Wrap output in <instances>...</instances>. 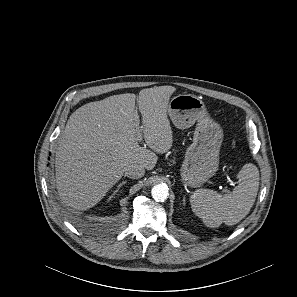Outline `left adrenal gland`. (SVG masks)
<instances>
[{
    "label": "left adrenal gland",
    "mask_w": 297,
    "mask_h": 297,
    "mask_svg": "<svg viewBox=\"0 0 297 297\" xmlns=\"http://www.w3.org/2000/svg\"><path fill=\"white\" fill-rule=\"evenodd\" d=\"M183 204L185 205V197L183 198Z\"/></svg>",
    "instance_id": "a2214340"
}]
</instances>
